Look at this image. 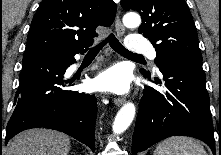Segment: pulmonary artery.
Returning <instances> with one entry per match:
<instances>
[{"instance_id": "e3ab8cb5", "label": "pulmonary artery", "mask_w": 221, "mask_h": 155, "mask_svg": "<svg viewBox=\"0 0 221 155\" xmlns=\"http://www.w3.org/2000/svg\"><path fill=\"white\" fill-rule=\"evenodd\" d=\"M127 48L133 53L146 54L151 60H155L156 58V52L154 48L140 35H130L127 39Z\"/></svg>"}]
</instances>
